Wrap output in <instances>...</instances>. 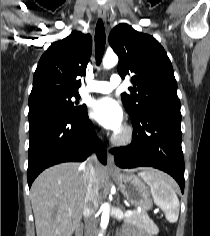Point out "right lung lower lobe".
Wrapping results in <instances>:
<instances>
[{
	"label": "right lung lower lobe",
	"mask_w": 210,
	"mask_h": 236,
	"mask_svg": "<svg viewBox=\"0 0 210 236\" xmlns=\"http://www.w3.org/2000/svg\"><path fill=\"white\" fill-rule=\"evenodd\" d=\"M97 150L101 163L107 152L87 114L74 117L50 114L29 121L28 185L44 169L62 162L84 161Z\"/></svg>",
	"instance_id": "right-lung-lower-lobe-1"
}]
</instances>
